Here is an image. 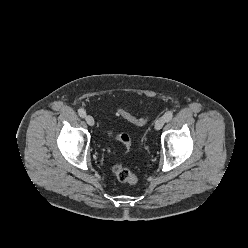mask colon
Masks as SVG:
<instances>
[{"instance_id":"colon-1","label":"colon","mask_w":248,"mask_h":248,"mask_svg":"<svg viewBox=\"0 0 248 248\" xmlns=\"http://www.w3.org/2000/svg\"><path fill=\"white\" fill-rule=\"evenodd\" d=\"M117 115L123 117L130 123L137 125V126H143L147 123L148 118H137L133 116L131 113H129L124 108H118L116 110ZM116 139H118L125 147L126 151H129L131 148V137L126 133H121L119 135H115ZM112 172L115 175V177L123 183H128L131 185H134L138 183L139 178L136 174L131 172L129 169L125 168L124 166L120 164L114 165L112 168Z\"/></svg>"}]
</instances>
